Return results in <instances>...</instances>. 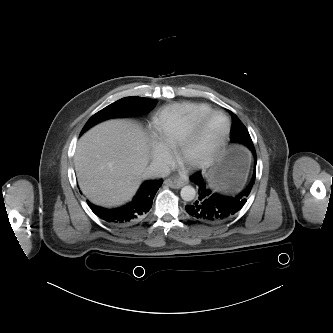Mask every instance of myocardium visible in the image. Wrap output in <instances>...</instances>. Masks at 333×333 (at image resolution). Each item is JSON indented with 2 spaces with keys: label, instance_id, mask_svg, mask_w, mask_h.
I'll return each instance as SVG.
<instances>
[{
  "label": "myocardium",
  "instance_id": "1",
  "mask_svg": "<svg viewBox=\"0 0 333 333\" xmlns=\"http://www.w3.org/2000/svg\"><path fill=\"white\" fill-rule=\"evenodd\" d=\"M220 116L225 120L224 128L219 135V137L213 142L207 154L202 157H192L191 150L195 142L200 137L204 126L212 118ZM231 130V121L229 117L220 110H212L208 114L196 120L188 130L187 134L178 144L175 149V156L177 162L191 170L204 169L211 166L219 154L221 153L223 147L225 146Z\"/></svg>",
  "mask_w": 333,
  "mask_h": 333
}]
</instances>
